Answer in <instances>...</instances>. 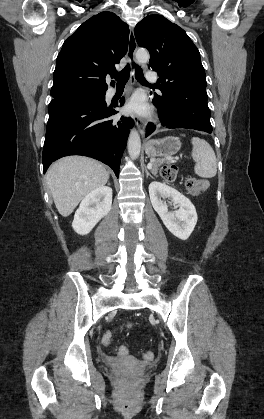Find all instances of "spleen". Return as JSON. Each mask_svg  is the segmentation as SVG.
<instances>
[{
    "label": "spleen",
    "instance_id": "obj_1",
    "mask_svg": "<svg viewBox=\"0 0 264 419\" xmlns=\"http://www.w3.org/2000/svg\"><path fill=\"white\" fill-rule=\"evenodd\" d=\"M191 143L193 145L192 156L196 161L195 174L203 178L214 177L217 173V160L210 144L199 137H193Z\"/></svg>",
    "mask_w": 264,
    "mask_h": 419
}]
</instances>
